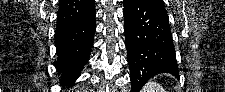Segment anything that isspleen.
I'll return each mask as SVG.
<instances>
[{
    "mask_svg": "<svg viewBox=\"0 0 225 92\" xmlns=\"http://www.w3.org/2000/svg\"><path fill=\"white\" fill-rule=\"evenodd\" d=\"M141 92H165V90L160 84L153 81H149L142 88Z\"/></svg>",
    "mask_w": 225,
    "mask_h": 92,
    "instance_id": "spleen-1",
    "label": "spleen"
}]
</instances>
